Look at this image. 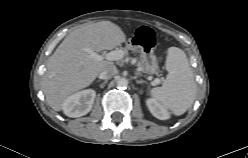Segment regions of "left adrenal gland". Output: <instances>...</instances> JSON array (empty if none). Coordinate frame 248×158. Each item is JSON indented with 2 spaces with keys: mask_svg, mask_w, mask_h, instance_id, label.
Returning <instances> with one entry per match:
<instances>
[{
  "mask_svg": "<svg viewBox=\"0 0 248 158\" xmlns=\"http://www.w3.org/2000/svg\"><path fill=\"white\" fill-rule=\"evenodd\" d=\"M136 83H137V84H141V83H147V82L144 81V80H136Z\"/></svg>",
  "mask_w": 248,
  "mask_h": 158,
  "instance_id": "left-adrenal-gland-1",
  "label": "left adrenal gland"
}]
</instances>
